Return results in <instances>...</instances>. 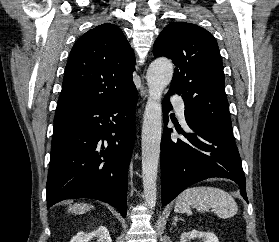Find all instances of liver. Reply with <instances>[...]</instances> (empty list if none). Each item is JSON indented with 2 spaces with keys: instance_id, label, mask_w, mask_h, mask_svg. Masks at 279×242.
<instances>
[{
  "instance_id": "liver-1",
  "label": "liver",
  "mask_w": 279,
  "mask_h": 242,
  "mask_svg": "<svg viewBox=\"0 0 279 242\" xmlns=\"http://www.w3.org/2000/svg\"><path fill=\"white\" fill-rule=\"evenodd\" d=\"M91 208L92 206H89L88 204L76 203L74 205L69 206L68 211L76 214H82L90 210Z\"/></svg>"
}]
</instances>
